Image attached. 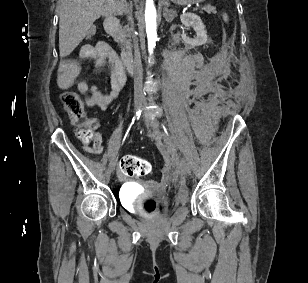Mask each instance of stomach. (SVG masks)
<instances>
[{
    "mask_svg": "<svg viewBox=\"0 0 308 283\" xmlns=\"http://www.w3.org/2000/svg\"><path fill=\"white\" fill-rule=\"evenodd\" d=\"M178 5H190L203 2L204 0H173Z\"/></svg>",
    "mask_w": 308,
    "mask_h": 283,
    "instance_id": "0dacf381",
    "label": "stomach"
}]
</instances>
